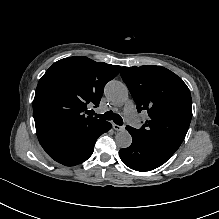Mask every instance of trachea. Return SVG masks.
<instances>
[{
  "instance_id": "obj_1",
  "label": "trachea",
  "mask_w": 219,
  "mask_h": 219,
  "mask_svg": "<svg viewBox=\"0 0 219 219\" xmlns=\"http://www.w3.org/2000/svg\"><path fill=\"white\" fill-rule=\"evenodd\" d=\"M92 114H95L98 118L100 119H104V120H113L114 123H116L117 125H123V119L121 118V116L117 113H114L112 111H108L104 114H96L93 110H91Z\"/></svg>"
}]
</instances>
